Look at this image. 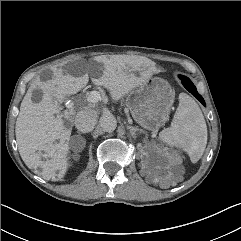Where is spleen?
I'll return each mask as SVG.
<instances>
[{
	"label": "spleen",
	"instance_id": "obj_1",
	"mask_svg": "<svg viewBox=\"0 0 241 241\" xmlns=\"http://www.w3.org/2000/svg\"><path fill=\"white\" fill-rule=\"evenodd\" d=\"M159 140L182 147L193 163L202 157L207 144V126L198 104L186 93H180L171 126L159 133Z\"/></svg>",
	"mask_w": 241,
	"mask_h": 241
}]
</instances>
